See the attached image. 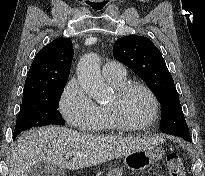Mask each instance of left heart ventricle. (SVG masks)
I'll use <instances>...</instances> for the list:
<instances>
[{"mask_svg":"<svg viewBox=\"0 0 205 176\" xmlns=\"http://www.w3.org/2000/svg\"><path fill=\"white\" fill-rule=\"evenodd\" d=\"M115 102V96L109 105ZM121 112L124 118L130 123H143L147 121L152 114V103L148 95L141 91L135 90L120 102Z\"/></svg>","mask_w":205,"mask_h":176,"instance_id":"left-heart-ventricle-1","label":"left heart ventricle"}]
</instances>
